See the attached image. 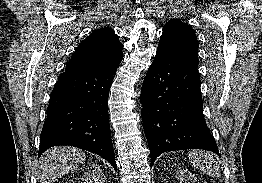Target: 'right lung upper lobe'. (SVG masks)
<instances>
[{
	"label": "right lung upper lobe",
	"instance_id": "1",
	"mask_svg": "<svg viewBox=\"0 0 262 183\" xmlns=\"http://www.w3.org/2000/svg\"><path fill=\"white\" fill-rule=\"evenodd\" d=\"M123 45L111 28H100L76 48L65 71L108 70L118 67L123 59Z\"/></svg>",
	"mask_w": 262,
	"mask_h": 183
}]
</instances>
